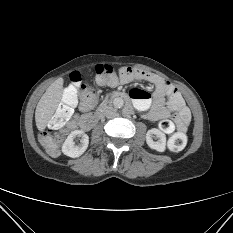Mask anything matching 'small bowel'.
Instances as JSON below:
<instances>
[{"label":"small bowel","mask_w":233,"mask_h":233,"mask_svg":"<svg viewBox=\"0 0 233 233\" xmlns=\"http://www.w3.org/2000/svg\"><path fill=\"white\" fill-rule=\"evenodd\" d=\"M135 80L149 82L155 87L152 95L137 88L130 91L135 107L144 113V117L151 121H159V128L166 134L185 132L191 115L179 91L156 74L131 68L120 69L117 83L128 84ZM94 103L95 96L82 98L81 112H89Z\"/></svg>","instance_id":"obj_1"}]
</instances>
